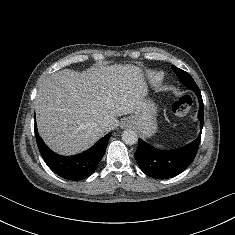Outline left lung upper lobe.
Masks as SVG:
<instances>
[{
    "label": "left lung upper lobe",
    "instance_id": "1",
    "mask_svg": "<svg viewBox=\"0 0 235 235\" xmlns=\"http://www.w3.org/2000/svg\"><path fill=\"white\" fill-rule=\"evenodd\" d=\"M172 69L176 73L181 82L183 80H186L190 83V85H192L193 88H190L191 90L195 91V89H199L193 78L187 72L175 67L174 65H172Z\"/></svg>",
    "mask_w": 235,
    "mask_h": 235
}]
</instances>
